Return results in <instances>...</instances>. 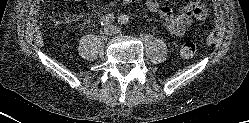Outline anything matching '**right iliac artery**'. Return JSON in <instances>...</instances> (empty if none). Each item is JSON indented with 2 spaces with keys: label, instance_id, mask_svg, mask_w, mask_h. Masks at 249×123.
Segmentation results:
<instances>
[{
  "label": "right iliac artery",
  "instance_id": "82829eb1",
  "mask_svg": "<svg viewBox=\"0 0 249 123\" xmlns=\"http://www.w3.org/2000/svg\"><path fill=\"white\" fill-rule=\"evenodd\" d=\"M115 17L113 14H106L100 19V24L107 26L110 25L114 21Z\"/></svg>",
  "mask_w": 249,
  "mask_h": 123
}]
</instances>
